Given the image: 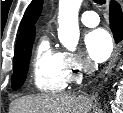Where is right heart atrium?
Returning <instances> with one entry per match:
<instances>
[{
    "instance_id": "1",
    "label": "right heart atrium",
    "mask_w": 123,
    "mask_h": 113,
    "mask_svg": "<svg viewBox=\"0 0 123 113\" xmlns=\"http://www.w3.org/2000/svg\"><path fill=\"white\" fill-rule=\"evenodd\" d=\"M62 54L67 82L74 83L80 81L83 73L89 68L88 63L75 53L63 52Z\"/></svg>"
}]
</instances>
